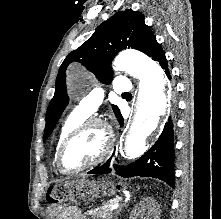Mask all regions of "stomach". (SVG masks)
Returning <instances> with one entry per match:
<instances>
[{
    "mask_svg": "<svg viewBox=\"0 0 221 219\" xmlns=\"http://www.w3.org/2000/svg\"><path fill=\"white\" fill-rule=\"evenodd\" d=\"M67 185H74L73 190L64 194V199H71V204H92L99 197H113L120 184L115 185L106 178H69Z\"/></svg>",
    "mask_w": 221,
    "mask_h": 219,
    "instance_id": "1",
    "label": "stomach"
}]
</instances>
